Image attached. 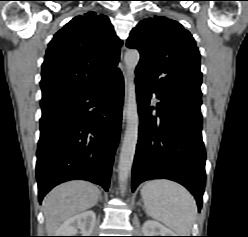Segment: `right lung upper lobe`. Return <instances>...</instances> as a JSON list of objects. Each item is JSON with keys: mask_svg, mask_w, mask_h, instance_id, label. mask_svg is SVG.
<instances>
[{"mask_svg": "<svg viewBox=\"0 0 248 237\" xmlns=\"http://www.w3.org/2000/svg\"><path fill=\"white\" fill-rule=\"evenodd\" d=\"M121 41L107 16L88 12L60 29L42 64V99L80 91L120 70Z\"/></svg>", "mask_w": 248, "mask_h": 237, "instance_id": "cb5924a9", "label": "right lung upper lobe"}]
</instances>
